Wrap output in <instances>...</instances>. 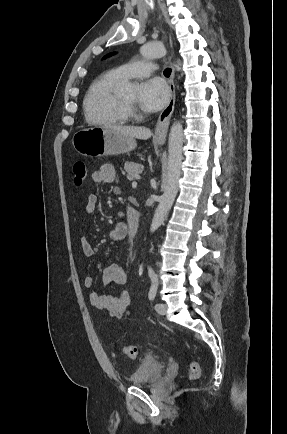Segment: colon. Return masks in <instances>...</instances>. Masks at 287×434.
Returning <instances> with one entry per match:
<instances>
[{"label":"colon","instance_id":"obj_1","mask_svg":"<svg viewBox=\"0 0 287 434\" xmlns=\"http://www.w3.org/2000/svg\"><path fill=\"white\" fill-rule=\"evenodd\" d=\"M87 176V169L85 163L82 161H76L73 164V184L75 186H81ZM124 356L130 359H135L138 354L136 346L126 345L122 347ZM201 376V367L196 360H191L189 363V378L191 380H197Z\"/></svg>","mask_w":287,"mask_h":434}]
</instances>
